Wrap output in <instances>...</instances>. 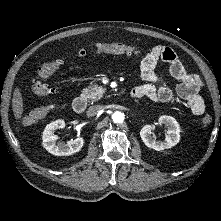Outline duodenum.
<instances>
[{"mask_svg":"<svg viewBox=\"0 0 221 221\" xmlns=\"http://www.w3.org/2000/svg\"><path fill=\"white\" fill-rule=\"evenodd\" d=\"M72 108L74 112L80 114L86 108V101L82 97H76L72 102Z\"/></svg>","mask_w":221,"mask_h":221,"instance_id":"1","label":"duodenum"}]
</instances>
